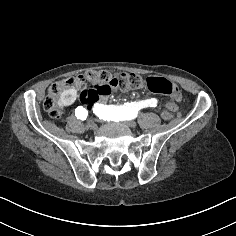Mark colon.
<instances>
[{
    "label": "colon",
    "mask_w": 236,
    "mask_h": 236,
    "mask_svg": "<svg viewBox=\"0 0 236 236\" xmlns=\"http://www.w3.org/2000/svg\"><path fill=\"white\" fill-rule=\"evenodd\" d=\"M143 79L135 73H122L111 75L106 71H87L77 77L53 83L46 96L43 107L53 118H59L61 109L57 106L58 96L68 88L80 89V100L92 105L100 98L110 94L112 89H130L142 86ZM147 88L156 94L168 95L173 101L179 99L177 87L164 78L149 77L146 80ZM165 120H171L174 115L170 111H163L161 114Z\"/></svg>",
    "instance_id": "colon-1"
}]
</instances>
